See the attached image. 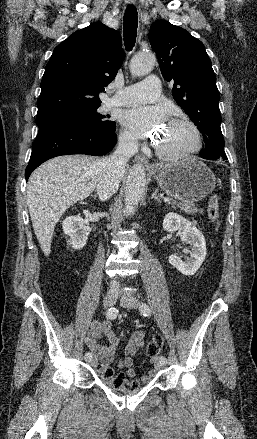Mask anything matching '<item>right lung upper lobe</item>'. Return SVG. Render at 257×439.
<instances>
[{"label":"right lung upper lobe","instance_id":"obj_1","mask_svg":"<svg viewBox=\"0 0 257 439\" xmlns=\"http://www.w3.org/2000/svg\"><path fill=\"white\" fill-rule=\"evenodd\" d=\"M123 63L120 34L101 22L78 30L59 44L45 67L36 120L101 104Z\"/></svg>","mask_w":257,"mask_h":439}]
</instances>
